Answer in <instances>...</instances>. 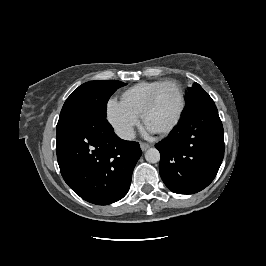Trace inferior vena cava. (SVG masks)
Returning a JSON list of instances; mask_svg holds the SVG:
<instances>
[{"label":"inferior vena cava","instance_id":"602c4592","mask_svg":"<svg viewBox=\"0 0 266 266\" xmlns=\"http://www.w3.org/2000/svg\"><path fill=\"white\" fill-rule=\"evenodd\" d=\"M116 134L121 138L125 140H133L135 138V132L132 127H125L118 129L116 131Z\"/></svg>","mask_w":266,"mask_h":266}]
</instances>
